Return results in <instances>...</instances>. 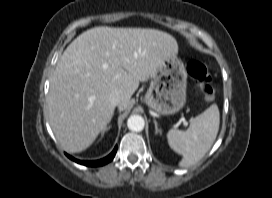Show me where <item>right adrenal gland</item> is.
Returning a JSON list of instances; mask_svg holds the SVG:
<instances>
[{"label":"right adrenal gland","instance_id":"1","mask_svg":"<svg viewBox=\"0 0 272 198\" xmlns=\"http://www.w3.org/2000/svg\"><path fill=\"white\" fill-rule=\"evenodd\" d=\"M110 128H111V126H108V127L105 129V131H108Z\"/></svg>","mask_w":272,"mask_h":198}]
</instances>
